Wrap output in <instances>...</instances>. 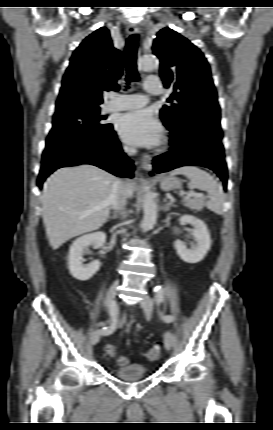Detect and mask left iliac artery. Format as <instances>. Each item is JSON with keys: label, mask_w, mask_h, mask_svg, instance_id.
Masks as SVG:
<instances>
[{"label": "left iliac artery", "mask_w": 273, "mask_h": 430, "mask_svg": "<svg viewBox=\"0 0 273 430\" xmlns=\"http://www.w3.org/2000/svg\"><path fill=\"white\" fill-rule=\"evenodd\" d=\"M154 292H155V302L156 303H160L163 301L164 299V295H165V291L164 288L161 285H157L154 288ZM160 317L163 321L165 322H172L174 320V317L171 315H163L162 313H160Z\"/></svg>", "instance_id": "1"}]
</instances>
